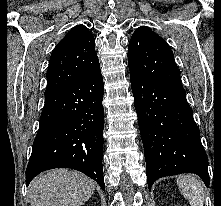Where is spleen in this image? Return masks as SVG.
I'll return each instance as SVG.
<instances>
[{
  "instance_id": "obj_1",
  "label": "spleen",
  "mask_w": 221,
  "mask_h": 206,
  "mask_svg": "<svg viewBox=\"0 0 221 206\" xmlns=\"http://www.w3.org/2000/svg\"><path fill=\"white\" fill-rule=\"evenodd\" d=\"M177 185L191 206H203V186L199 179L191 175H182L178 178Z\"/></svg>"
}]
</instances>
